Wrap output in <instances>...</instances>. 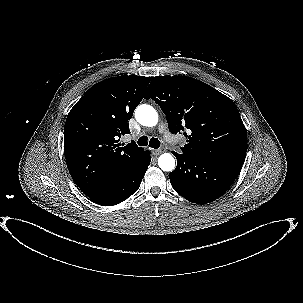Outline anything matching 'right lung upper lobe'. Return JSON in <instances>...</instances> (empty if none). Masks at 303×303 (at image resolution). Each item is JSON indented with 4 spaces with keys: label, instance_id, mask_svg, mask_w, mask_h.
<instances>
[{
    "label": "right lung upper lobe",
    "instance_id": "cb5924a9",
    "mask_svg": "<svg viewBox=\"0 0 303 303\" xmlns=\"http://www.w3.org/2000/svg\"><path fill=\"white\" fill-rule=\"evenodd\" d=\"M152 77L121 75L87 90L69 112L64 128L68 170L82 192L92 196L125 177L147 151L135 143L120 147L128 120Z\"/></svg>",
    "mask_w": 303,
    "mask_h": 303
}]
</instances>
